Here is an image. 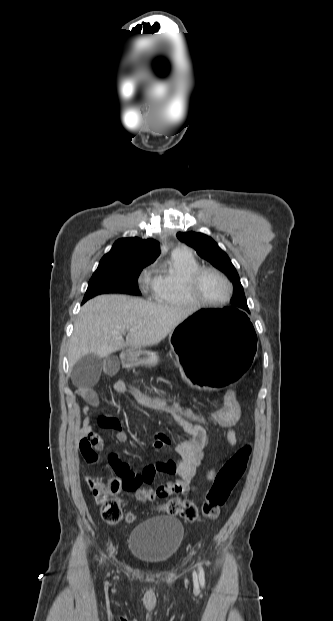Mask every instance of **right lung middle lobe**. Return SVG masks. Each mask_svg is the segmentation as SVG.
Here are the masks:
<instances>
[{
    "mask_svg": "<svg viewBox=\"0 0 333 621\" xmlns=\"http://www.w3.org/2000/svg\"><path fill=\"white\" fill-rule=\"evenodd\" d=\"M148 264L135 262L99 263L88 284L83 302L103 293H126L141 295L137 279L142 269Z\"/></svg>",
    "mask_w": 333,
    "mask_h": 621,
    "instance_id": "1",
    "label": "right lung middle lobe"
}]
</instances>
